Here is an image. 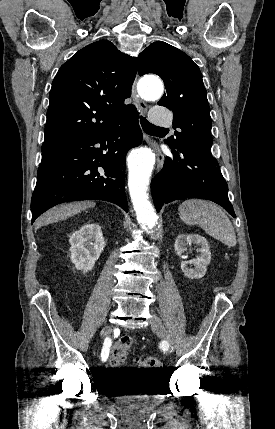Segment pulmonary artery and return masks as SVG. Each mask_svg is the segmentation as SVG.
<instances>
[{
	"mask_svg": "<svg viewBox=\"0 0 275 429\" xmlns=\"http://www.w3.org/2000/svg\"><path fill=\"white\" fill-rule=\"evenodd\" d=\"M150 120L156 126L167 127L172 124L171 116L160 107L152 109L150 113Z\"/></svg>",
	"mask_w": 275,
	"mask_h": 429,
	"instance_id": "obj_1",
	"label": "pulmonary artery"
}]
</instances>
